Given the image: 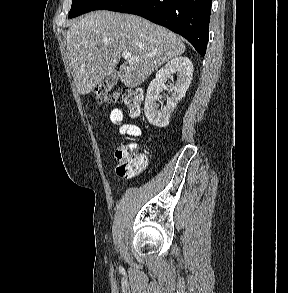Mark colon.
Masks as SVG:
<instances>
[{
    "mask_svg": "<svg viewBox=\"0 0 288 293\" xmlns=\"http://www.w3.org/2000/svg\"><path fill=\"white\" fill-rule=\"evenodd\" d=\"M95 98L98 102L120 100L127 112L132 117L140 114L144 94L141 89L127 88L121 92L112 91L106 87L95 88ZM115 158L118 162L116 171L120 176H133L142 171L146 164V158L132 149L131 145H120L115 150Z\"/></svg>",
    "mask_w": 288,
    "mask_h": 293,
    "instance_id": "colon-1",
    "label": "colon"
}]
</instances>
